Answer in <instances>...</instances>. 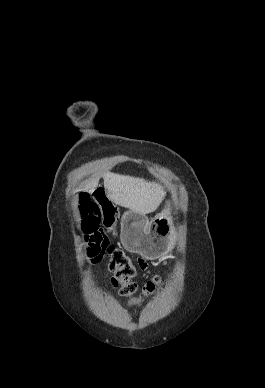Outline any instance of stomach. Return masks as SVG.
<instances>
[{
  "mask_svg": "<svg viewBox=\"0 0 265 388\" xmlns=\"http://www.w3.org/2000/svg\"><path fill=\"white\" fill-rule=\"evenodd\" d=\"M174 234L170 204L151 221L144 214L132 210L125 212L121 219L123 247L150 260L158 259L171 250Z\"/></svg>",
  "mask_w": 265,
  "mask_h": 388,
  "instance_id": "obj_1",
  "label": "stomach"
}]
</instances>
